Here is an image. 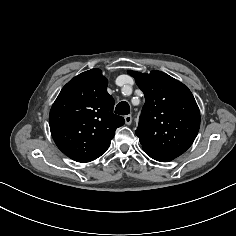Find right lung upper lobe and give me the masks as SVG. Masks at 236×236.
<instances>
[{
	"instance_id": "right-lung-upper-lobe-1",
	"label": "right lung upper lobe",
	"mask_w": 236,
	"mask_h": 236,
	"mask_svg": "<svg viewBox=\"0 0 236 236\" xmlns=\"http://www.w3.org/2000/svg\"><path fill=\"white\" fill-rule=\"evenodd\" d=\"M107 85L100 69L83 72L62 88L51 108L54 142L77 162H90L105 153L115 130L125 123L113 114L114 99Z\"/></svg>"
}]
</instances>
